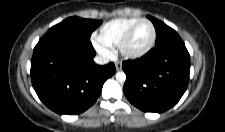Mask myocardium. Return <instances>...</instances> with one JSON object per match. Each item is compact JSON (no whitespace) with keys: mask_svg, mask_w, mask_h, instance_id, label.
Returning <instances> with one entry per match:
<instances>
[{"mask_svg":"<svg viewBox=\"0 0 225 132\" xmlns=\"http://www.w3.org/2000/svg\"><path fill=\"white\" fill-rule=\"evenodd\" d=\"M148 23L150 26H151V29H152V36H151V39L150 41L147 43L146 46H144L142 49L140 50H131L129 49V41L132 37V34L134 32V30L136 29V27L140 24V23ZM155 40H156V29H155V26L153 25V23L146 19V18H141V19H138L136 22H134L128 29L127 31L125 32V34L123 35L119 45H118V48L121 52V54L126 57V58H129V59H137V58H140L144 55H146L153 47L154 43H155Z\"/></svg>","mask_w":225,"mask_h":132,"instance_id":"obj_1","label":"myocardium"}]
</instances>
